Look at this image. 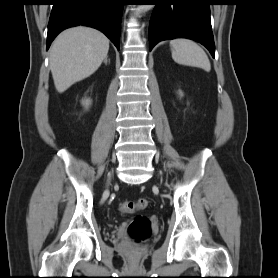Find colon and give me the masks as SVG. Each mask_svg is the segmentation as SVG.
Here are the masks:
<instances>
[{
	"label": "colon",
	"instance_id": "obj_1",
	"mask_svg": "<svg viewBox=\"0 0 278 278\" xmlns=\"http://www.w3.org/2000/svg\"><path fill=\"white\" fill-rule=\"evenodd\" d=\"M149 202L145 198L136 201H127L121 204V210L126 213H133L145 210ZM128 236L135 243H142L151 235V221L145 215H136L128 226Z\"/></svg>",
	"mask_w": 278,
	"mask_h": 278
}]
</instances>
